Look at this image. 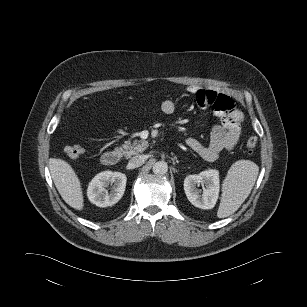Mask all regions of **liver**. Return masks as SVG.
<instances>
[{
  "instance_id": "obj_1",
  "label": "liver",
  "mask_w": 307,
  "mask_h": 307,
  "mask_svg": "<svg viewBox=\"0 0 307 307\" xmlns=\"http://www.w3.org/2000/svg\"><path fill=\"white\" fill-rule=\"evenodd\" d=\"M49 169L53 182L63 200L76 210H83L84 199L81 183L69 163L62 159L50 158Z\"/></svg>"
}]
</instances>
